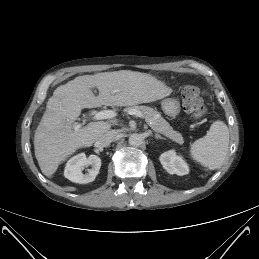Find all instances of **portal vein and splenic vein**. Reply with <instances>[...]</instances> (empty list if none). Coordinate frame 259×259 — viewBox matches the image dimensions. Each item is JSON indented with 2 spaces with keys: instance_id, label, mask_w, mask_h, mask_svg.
<instances>
[{
  "instance_id": "obj_1",
  "label": "portal vein and splenic vein",
  "mask_w": 259,
  "mask_h": 259,
  "mask_svg": "<svg viewBox=\"0 0 259 259\" xmlns=\"http://www.w3.org/2000/svg\"><path fill=\"white\" fill-rule=\"evenodd\" d=\"M128 113L130 115H136L137 117L143 118V114L140 111L136 110H129ZM116 116V112L113 110H102L100 112H97L94 116V120H103V119H111ZM81 128V124H77L74 126V131L77 132Z\"/></svg>"
}]
</instances>
